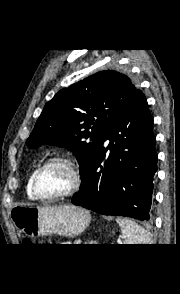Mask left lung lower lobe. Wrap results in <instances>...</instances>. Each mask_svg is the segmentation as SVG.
<instances>
[{
    "instance_id": "0a47b994",
    "label": "left lung lower lobe",
    "mask_w": 180,
    "mask_h": 294,
    "mask_svg": "<svg viewBox=\"0 0 180 294\" xmlns=\"http://www.w3.org/2000/svg\"><path fill=\"white\" fill-rule=\"evenodd\" d=\"M103 142L72 203L104 215L149 220L157 154L153 118L142 91Z\"/></svg>"
}]
</instances>
